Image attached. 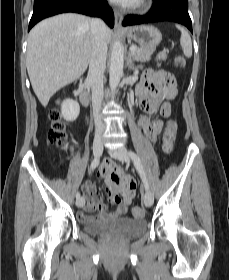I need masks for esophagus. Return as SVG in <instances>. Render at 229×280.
Here are the masks:
<instances>
[{"mask_svg": "<svg viewBox=\"0 0 229 280\" xmlns=\"http://www.w3.org/2000/svg\"><path fill=\"white\" fill-rule=\"evenodd\" d=\"M114 17H115V27L118 30H124L125 28L122 26L123 22V15L117 10H114Z\"/></svg>", "mask_w": 229, "mask_h": 280, "instance_id": "esophagus-1", "label": "esophagus"}]
</instances>
